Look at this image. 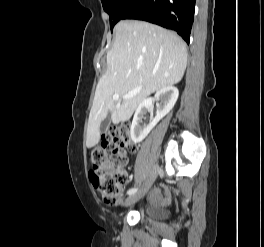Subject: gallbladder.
I'll return each mask as SVG.
<instances>
[{
	"label": "gallbladder",
	"mask_w": 264,
	"mask_h": 247,
	"mask_svg": "<svg viewBox=\"0 0 264 247\" xmlns=\"http://www.w3.org/2000/svg\"><path fill=\"white\" fill-rule=\"evenodd\" d=\"M111 112L112 111H108V114L106 115L107 117L100 122L101 123L100 129H99L100 133H105L107 131V127L109 126V124L111 122V119H110L112 117L111 116L112 115Z\"/></svg>",
	"instance_id": "obj_1"
}]
</instances>
